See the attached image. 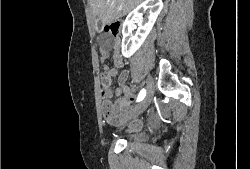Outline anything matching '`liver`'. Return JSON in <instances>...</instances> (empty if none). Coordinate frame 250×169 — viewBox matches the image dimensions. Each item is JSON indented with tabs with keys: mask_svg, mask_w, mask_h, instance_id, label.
Wrapping results in <instances>:
<instances>
[{
	"mask_svg": "<svg viewBox=\"0 0 250 169\" xmlns=\"http://www.w3.org/2000/svg\"><path fill=\"white\" fill-rule=\"evenodd\" d=\"M140 2L142 0H88L93 14H97L104 24L109 20H117L120 16H124Z\"/></svg>",
	"mask_w": 250,
	"mask_h": 169,
	"instance_id": "liver-1",
	"label": "liver"
}]
</instances>
